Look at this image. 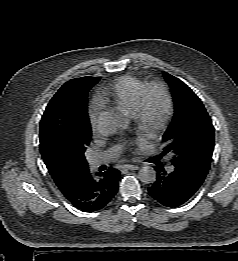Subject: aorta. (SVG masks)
<instances>
[{"label":"aorta","instance_id":"1","mask_svg":"<svg viewBox=\"0 0 238 261\" xmlns=\"http://www.w3.org/2000/svg\"><path fill=\"white\" fill-rule=\"evenodd\" d=\"M127 125L128 122L122 115L105 112L99 118L98 129L100 133L108 136L125 129ZM138 177L145 184L153 183L156 181V171L151 166H144L139 170Z\"/></svg>","mask_w":238,"mask_h":261}]
</instances>
